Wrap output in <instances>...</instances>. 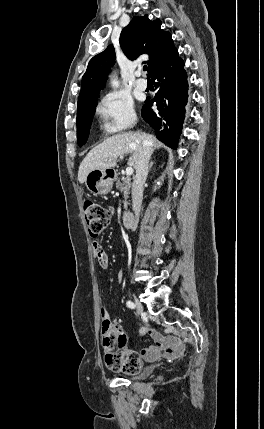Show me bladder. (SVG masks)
Instances as JSON below:
<instances>
[{
    "label": "bladder",
    "instance_id": "obj_1",
    "mask_svg": "<svg viewBox=\"0 0 264 429\" xmlns=\"http://www.w3.org/2000/svg\"><path fill=\"white\" fill-rule=\"evenodd\" d=\"M155 370L154 366L145 367L141 372L130 374L134 379H145L149 377Z\"/></svg>",
    "mask_w": 264,
    "mask_h": 429
}]
</instances>
